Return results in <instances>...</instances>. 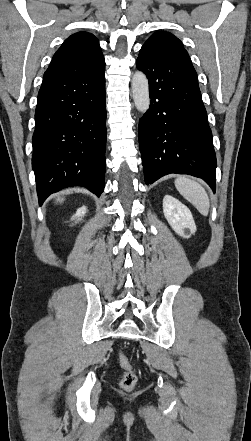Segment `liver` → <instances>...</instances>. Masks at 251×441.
<instances>
[{
	"label": "liver",
	"instance_id": "liver-1",
	"mask_svg": "<svg viewBox=\"0 0 251 441\" xmlns=\"http://www.w3.org/2000/svg\"><path fill=\"white\" fill-rule=\"evenodd\" d=\"M58 201H63V199H60V198H59Z\"/></svg>",
	"mask_w": 251,
	"mask_h": 441
}]
</instances>
